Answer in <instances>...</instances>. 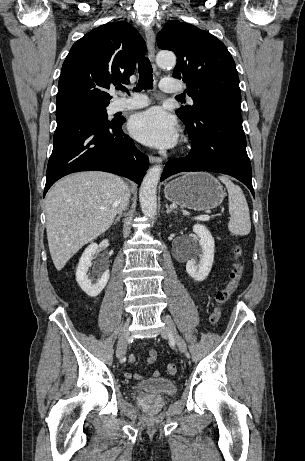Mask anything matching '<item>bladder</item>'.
<instances>
[{
    "label": "bladder",
    "mask_w": 305,
    "mask_h": 461,
    "mask_svg": "<svg viewBox=\"0 0 305 461\" xmlns=\"http://www.w3.org/2000/svg\"><path fill=\"white\" fill-rule=\"evenodd\" d=\"M136 389L143 393L172 395L177 392V385L170 379L154 378L139 382Z\"/></svg>",
    "instance_id": "obj_1"
}]
</instances>
